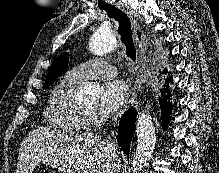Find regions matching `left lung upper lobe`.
Returning <instances> with one entry per match:
<instances>
[{
	"instance_id": "obj_1",
	"label": "left lung upper lobe",
	"mask_w": 219,
	"mask_h": 173,
	"mask_svg": "<svg viewBox=\"0 0 219 173\" xmlns=\"http://www.w3.org/2000/svg\"><path fill=\"white\" fill-rule=\"evenodd\" d=\"M68 64V54L67 53H63L62 55H60L59 57H57L54 62L52 63L47 77H46V81L44 83L43 88H47L49 87L54 80L61 74V72L67 67Z\"/></svg>"
}]
</instances>
